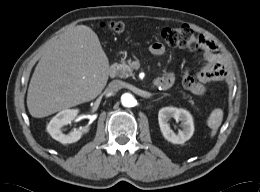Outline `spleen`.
I'll use <instances>...</instances> for the list:
<instances>
[{
	"label": "spleen",
	"instance_id": "1",
	"mask_svg": "<svg viewBox=\"0 0 260 192\" xmlns=\"http://www.w3.org/2000/svg\"><path fill=\"white\" fill-rule=\"evenodd\" d=\"M223 120V111L219 108L214 109L207 119V125L211 129L210 136L213 137Z\"/></svg>",
	"mask_w": 260,
	"mask_h": 192
}]
</instances>
